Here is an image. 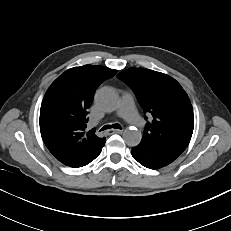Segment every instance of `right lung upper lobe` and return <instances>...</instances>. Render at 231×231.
I'll return each instance as SVG.
<instances>
[{"label":"right lung upper lobe","instance_id":"1","mask_svg":"<svg viewBox=\"0 0 231 231\" xmlns=\"http://www.w3.org/2000/svg\"><path fill=\"white\" fill-rule=\"evenodd\" d=\"M116 72L100 65L74 67L46 91L40 109L41 136L63 164L79 167L104 146L105 138H98L93 130L86 131V115L97 87Z\"/></svg>","mask_w":231,"mask_h":231}]
</instances>
